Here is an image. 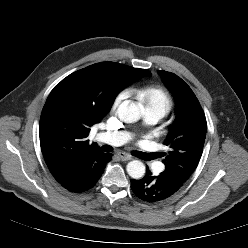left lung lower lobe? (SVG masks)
<instances>
[{"mask_svg":"<svg viewBox=\"0 0 248 248\" xmlns=\"http://www.w3.org/2000/svg\"><path fill=\"white\" fill-rule=\"evenodd\" d=\"M146 175L140 180H131V189L143 201L157 202L171 197L177 189L167 180L163 173L153 176L147 168Z\"/></svg>","mask_w":248,"mask_h":248,"instance_id":"1","label":"left lung lower lobe"}]
</instances>
